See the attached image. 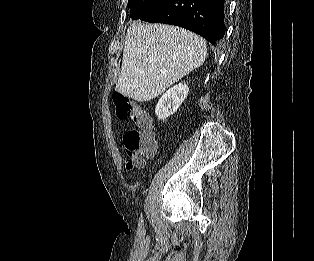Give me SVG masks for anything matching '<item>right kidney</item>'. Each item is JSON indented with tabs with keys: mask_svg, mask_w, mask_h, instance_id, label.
<instances>
[{
	"mask_svg": "<svg viewBox=\"0 0 314 261\" xmlns=\"http://www.w3.org/2000/svg\"><path fill=\"white\" fill-rule=\"evenodd\" d=\"M188 92L189 88L186 83H179L168 89L161 96L155 108L158 120H165L175 113L184 102Z\"/></svg>",
	"mask_w": 314,
	"mask_h": 261,
	"instance_id": "obj_1",
	"label": "right kidney"
}]
</instances>
